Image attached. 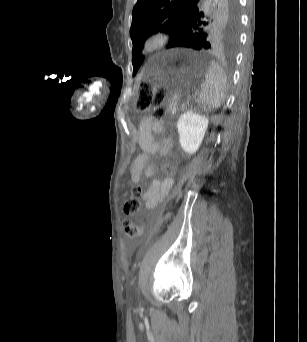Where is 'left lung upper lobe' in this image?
Returning a JSON list of instances; mask_svg holds the SVG:
<instances>
[{"mask_svg":"<svg viewBox=\"0 0 307 342\" xmlns=\"http://www.w3.org/2000/svg\"><path fill=\"white\" fill-rule=\"evenodd\" d=\"M138 0L132 12L130 36L135 75L144 60L143 43L159 31L171 33L168 48L223 51L232 54L238 42L237 0Z\"/></svg>","mask_w":307,"mask_h":342,"instance_id":"left-lung-upper-lobe-1","label":"left lung upper lobe"}]
</instances>
